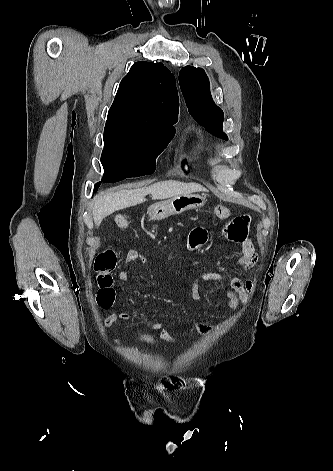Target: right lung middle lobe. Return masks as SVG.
Here are the masks:
<instances>
[{"label":"right lung middle lobe","instance_id":"right-lung-middle-lobe-1","mask_svg":"<svg viewBox=\"0 0 333 471\" xmlns=\"http://www.w3.org/2000/svg\"><path fill=\"white\" fill-rule=\"evenodd\" d=\"M175 130L148 124L107 121L101 163L104 182L152 174L156 158L173 138Z\"/></svg>","mask_w":333,"mask_h":471}]
</instances>
